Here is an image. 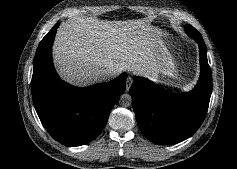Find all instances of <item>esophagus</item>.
<instances>
[{
  "label": "esophagus",
  "mask_w": 237,
  "mask_h": 169,
  "mask_svg": "<svg viewBox=\"0 0 237 169\" xmlns=\"http://www.w3.org/2000/svg\"><path fill=\"white\" fill-rule=\"evenodd\" d=\"M133 83V78L132 77H127V85H126V90L128 91Z\"/></svg>",
  "instance_id": "esophagus-1"
}]
</instances>
